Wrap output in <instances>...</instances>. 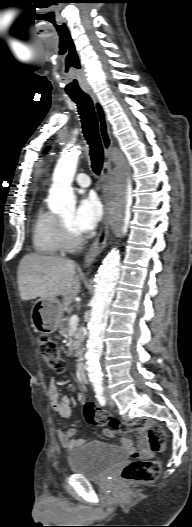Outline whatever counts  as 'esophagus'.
I'll list each match as a JSON object with an SVG mask.
<instances>
[{"mask_svg": "<svg viewBox=\"0 0 192 527\" xmlns=\"http://www.w3.org/2000/svg\"><path fill=\"white\" fill-rule=\"evenodd\" d=\"M87 93L89 94V96L91 97L94 103V108H95V112H96L97 120H98L99 135H100L102 146L104 149L105 159H104V170L101 175V188H102L101 198H102V202L104 206V215H103V220H102V224L100 227V231L95 241L93 242V244L91 245V247L89 248V250L87 251L84 257V261H83L84 267H90L94 263L96 258L100 255V253L103 251L104 247L106 246V242L108 238V233H109L108 180H109V177H108V174L105 172V170L109 169L110 164H111V160H112L111 153H112V145H113V140L110 134V127L107 121L104 108L102 104L100 103L94 91L88 90Z\"/></svg>", "mask_w": 192, "mask_h": 527, "instance_id": "1", "label": "esophagus"}]
</instances>
